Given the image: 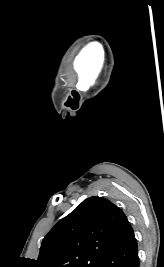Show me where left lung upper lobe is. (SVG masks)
Returning a JSON list of instances; mask_svg holds the SVG:
<instances>
[{"label": "left lung upper lobe", "instance_id": "5c2ea615", "mask_svg": "<svg viewBox=\"0 0 164 267\" xmlns=\"http://www.w3.org/2000/svg\"><path fill=\"white\" fill-rule=\"evenodd\" d=\"M128 220L109 200L93 196L44 237L36 267H99Z\"/></svg>", "mask_w": 164, "mask_h": 267}]
</instances>
